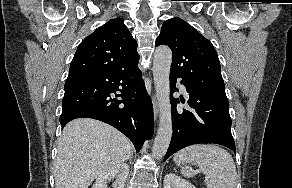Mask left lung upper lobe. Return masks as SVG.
Here are the masks:
<instances>
[{
	"instance_id": "left-lung-upper-lobe-1",
	"label": "left lung upper lobe",
	"mask_w": 292,
	"mask_h": 188,
	"mask_svg": "<svg viewBox=\"0 0 292 188\" xmlns=\"http://www.w3.org/2000/svg\"><path fill=\"white\" fill-rule=\"evenodd\" d=\"M161 44L173 52L170 74L199 89L226 95L218 55L196 29L180 18L168 19L156 39V46Z\"/></svg>"
}]
</instances>
